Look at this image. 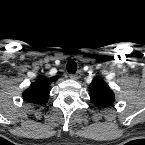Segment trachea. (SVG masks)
Returning a JSON list of instances; mask_svg holds the SVG:
<instances>
[{
    "mask_svg": "<svg viewBox=\"0 0 145 145\" xmlns=\"http://www.w3.org/2000/svg\"><path fill=\"white\" fill-rule=\"evenodd\" d=\"M67 72L70 74H75L77 71V64L73 60H69L66 64Z\"/></svg>",
    "mask_w": 145,
    "mask_h": 145,
    "instance_id": "3493384b",
    "label": "trachea"
}]
</instances>
